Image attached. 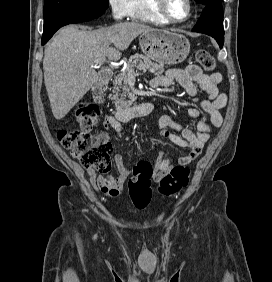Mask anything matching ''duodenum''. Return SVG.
Instances as JSON below:
<instances>
[{
	"mask_svg": "<svg viewBox=\"0 0 272 282\" xmlns=\"http://www.w3.org/2000/svg\"><path fill=\"white\" fill-rule=\"evenodd\" d=\"M112 77V73L108 70L102 71L98 74L97 79L99 81L98 85L93 87L94 94L97 97L100 93L102 87L110 81ZM154 105L150 102H146L142 104V108L152 109ZM133 111V107L129 100H124L120 104V109L116 111L115 116L117 119H125L128 115Z\"/></svg>",
	"mask_w": 272,
	"mask_h": 282,
	"instance_id": "410a0bca",
	"label": "duodenum"
}]
</instances>
